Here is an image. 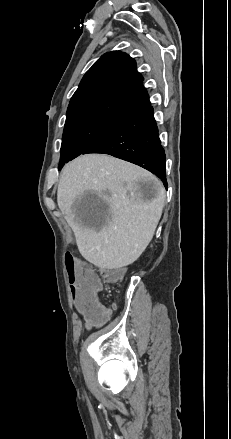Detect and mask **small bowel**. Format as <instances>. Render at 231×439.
<instances>
[{
  "mask_svg": "<svg viewBox=\"0 0 231 439\" xmlns=\"http://www.w3.org/2000/svg\"><path fill=\"white\" fill-rule=\"evenodd\" d=\"M74 297H75V295H74ZM83 314V313H82ZM110 314H111V311L109 310V309H107V319H108V317L110 316ZM106 319V320H107ZM106 320H86L85 319V321H86V327L89 329L91 326H95V327H101L105 322H106Z\"/></svg>",
  "mask_w": 231,
  "mask_h": 439,
  "instance_id": "obj_1",
  "label": "small bowel"
}]
</instances>
